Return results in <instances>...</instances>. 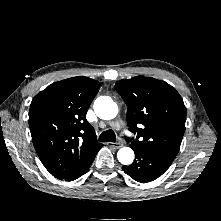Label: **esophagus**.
Masks as SVG:
<instances>
[{
  "instance_id": "34e87169",
  "label": "esophagus",
  "mask_w": 221,
  "mask_h": 221,
  "mask_svg": "<svg viewBox=\"0 0 221 221\" xmlns=\"http://www.w3.org/2000/svg\"><path fill=\"white\" fill-rule=\"evenodd\" d=\"M107 145L109 147H113L114 149H119V148H121L123 146V144L120 143V142H117V143H107Z\"/></svg>"
}]
</instances>
